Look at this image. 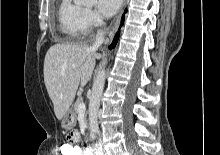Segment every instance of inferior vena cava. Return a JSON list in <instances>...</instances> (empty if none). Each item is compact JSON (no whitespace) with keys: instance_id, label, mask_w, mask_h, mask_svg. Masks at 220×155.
Masks as SVG:
<instances>
[{"instance_id":"obj_1","label":"inferior vena cava","mask_w":220,"mask_h":155,"mask_svg":"<svg viewBox=\"0 0 220 155\" xmlns=\"http://www.w3.org/2000/svg\"><path fill=\"white\" fill-rule=\"evenodd\" d=\"M103 42H104V33H103V31H100L97 33L96 41H95L92 49L99 47Z\"/></svg>"}]
</instances>
